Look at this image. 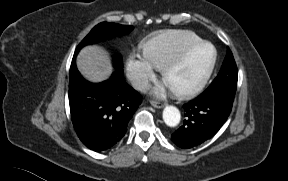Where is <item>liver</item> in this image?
<instances>
[{"label": "liver", "mask_w": 288, "mask_h": 181, "mask_svg": "<svg viewBox=\"0 0 288 181\" xmlns=\"http://www.w3.org/2000/svg\"><path fill=\"white\" fill-rule=\"evenodd\" d=\"M77 68L82 76L91 82L108 79L112 73L109 54L99 46H86L77 56Z\"/></svg>", "instance_id": "obj_1"}]
</instances>
